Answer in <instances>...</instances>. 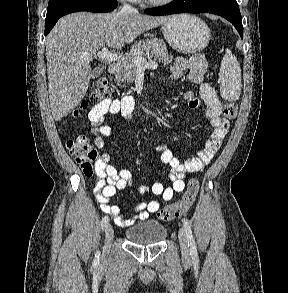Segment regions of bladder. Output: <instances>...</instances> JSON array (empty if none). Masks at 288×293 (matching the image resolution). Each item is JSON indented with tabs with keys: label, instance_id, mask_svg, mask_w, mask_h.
I'll return each mask as SVG.
<instances>
[{
	"label": "bladder",
	"instance_id": "1",
	"mask_svg": "<svg viewBox=\"0 0 288 293\" xmlns=\"http://www.w3.org/2000/svg\"><path fill=\"white\" fill-rule=\"evenodd\" d=\"M167 235L166 227L156 220H147L135 224L126 230L128 241L138 245H150L162 242Z\"/></svg>",
	"mask_w": 288,
	"mask_h": 293
}]
</instances>
